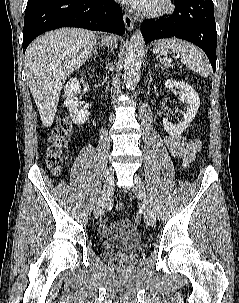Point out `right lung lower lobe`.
Instances as JSON below:
<instances>
[{
  "label": "right lung lower lobe",
  "mask_w": 239,
  "mask_h": 303,
  "mask_svg": "<svg viewBox=\"0 0 239 303\" xmlns=\"http://www.w3.org/2000/svg\"><path fill=\"white\" fill-rule=\"evenodd\" d=\"M60 27H80L123 35L125 25L114 0H28L23 52L40 34Z\"/></svg>",
  "instance_id": "1"
}]
</instances>
